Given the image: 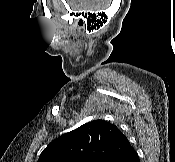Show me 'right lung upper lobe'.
<instances>
[{"label":"right lung upper lobe","instance_id":"1","mask_svg":"<svg viewBox=\"0 0 175 162\" xmlns=\"http://www.w3.org/2000/svg\"><path fill=\"white\" fill-rule=\"evenodd\" d=\"M132 148L117 126L94 120L52 141L38 162H112Z\"/></svg>","mask_w":175,"mask_h":162}]
</instances>
